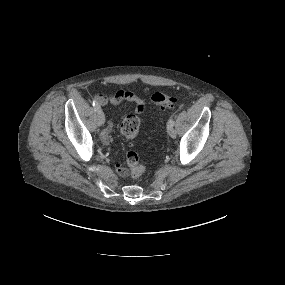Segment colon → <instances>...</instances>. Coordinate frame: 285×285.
<instances>
[{
	"instance_id": "obj_1",
	"label": "colon",
	"mask_w": 285,
	"mask_h": 285,
	"mask_svg": "<svg viewBox=\"0 0 285 285\" xmlns=\"http://www.w3.org/2000/svg\"><path fill=\"white\" fill-rule=\"evenodd\" d=\"M151 100L162 109L173 108L177 103L175 97L163 92H154ZM139 129L140 120L135 115L126 116L121 123V133L129 139H134L138 135ZM126 163L133 177L144 174L145 168L139 164L138 155L135 152L130 151L126 154Z\"/></svg>"
}]
</instances>
